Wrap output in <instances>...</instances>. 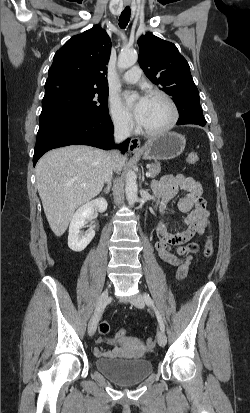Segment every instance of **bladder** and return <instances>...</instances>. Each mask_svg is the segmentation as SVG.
I'll list each match as a JSON object with an SVG mask.
<instances>
[{
    "mask_svg": "<svg viewBox=\"0 0 250 413\" xmlns=\"http://www.w3.org/2000/svg\"><path fill=\"white\" fill-rule=\"evenodd\" d=\"M94 365L106 377L120 385H133L146 379L153 364L144 358L99 357Z\"/></svg>",
    "mask_w": 250,
    "mask_h": 413,
    "instance_id": "31cf9c89",
    "label": "bladder"
}]
</instances>
